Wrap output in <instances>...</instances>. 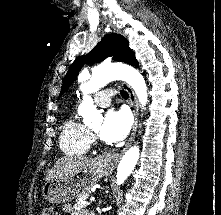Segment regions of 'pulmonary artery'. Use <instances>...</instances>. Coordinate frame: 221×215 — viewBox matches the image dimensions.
<instances>
[{"label": "pulmonary artery", "mask_w": 221, "mask_h": 215, "mask_svg": "<svg viewBox=\"0 0 221 215\" xmlns=\"http://www.w3.org/2000/svg\"><path fill=\"white\" fill-rule=\"evenodd\" d=\"M114 95V91L112 89H106L99 91L94 96V101L96 105L100 107H107L111 103V98Z\"/></svg>", "instance_id": "obj_1"}]
</instances>
